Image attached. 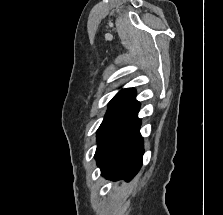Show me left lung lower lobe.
<instances>
[{
  "label": "left lung lower lobe",
  "mask_w": 223,
  "mask_h": 215,
  "mask_svg": "<svg viewBox=\"0 0 223 215\" xmlns=\"http://www.w3.org/2000/svg\"><path fill=\"white\" fill-rule=\"evenodd\" d=\"M138 103L108 134L95 154L101 175L130 181L142 166L143 139L139 133Z\"/></svg>",
  "instance_id": "obj_1"
}]
</instances>
